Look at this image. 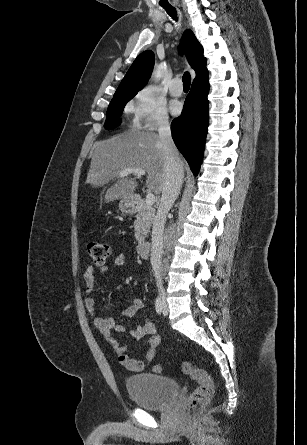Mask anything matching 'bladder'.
Here are the masks:
<instances>
[{"instance_id":"bladder-1","label":"bladder","mask_w":307,"mask_h":445,"mask_svg":"<svg viewBox=\"0 0 307 445\" xmlns=\"http://www.w3.org/2000/svg\"><path fill=\"white\" fill-rule=\"evenodd\" d=\"M132 401L148 410H161L168 407L179 393L176 380L154 373H137L125 382Z\"/></svg>"}]
</instances>
